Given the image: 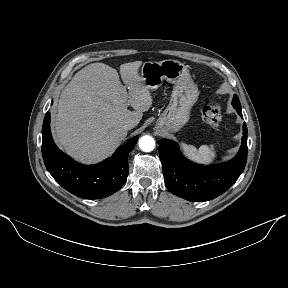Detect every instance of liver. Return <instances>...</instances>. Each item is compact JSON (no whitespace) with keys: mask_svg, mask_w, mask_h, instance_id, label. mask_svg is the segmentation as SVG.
I'll return each instance as SVG.
<instances>
[{"mask_svg":"<svg viewBox=\"0 0 288 288\" xmlns=\"http://www.w3.org/2000/svg\"><path fill=\"white\" fill-rule=\"evenodd\" d=\"M141 64L135 61L120 66L128 100H124L117 70L104 63L89 64L75 74L60 95L53 118L55 139L67 154L83 163H97L125 139L126 121L140 122L153 104L138 74ZM127 103L135 111L128 110Z\"/></svg>","mask_w":288,"mask_h":288,"instance_id":"1","label":"liver"}]
</instances>
